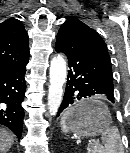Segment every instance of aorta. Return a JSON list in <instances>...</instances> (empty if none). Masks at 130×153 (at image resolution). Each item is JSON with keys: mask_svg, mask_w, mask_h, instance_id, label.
I'll return each instance as SVG.
<instances>
[{"mask_svg": "<svg viewBox=\"0 0 130 153\" xmlns=\"http://www.w3.org/2000/svg\"><path fill=\"white\" fill-rule=\"evenodd\" d=\"M66 77V61L62 55L58 54L53 57L50 64V86L47 102L50 115H55L60 107Z\"/></svg>", "mask_w": 130, "mask_h": 153, "instance_id": "obj_1", "label": "aorta"}]
</instances>
